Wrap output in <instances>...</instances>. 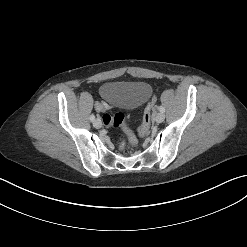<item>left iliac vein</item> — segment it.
<instances>
[{
  "instance_id": "1",
  "label": "left iliac vein",
  "mask_w": 247,
  "mask_h": 247,
  "mask_svg": "<svg viewBox=\"0 0 247 247\" xmlns=\"http://www.w3.org/2000/svg\"><path fill=\"white\" fill-rule=\"evenodd\" d=\"M164 119H165L164 113H162V112L157 113V115H156V117H155V121H156L157 123L163 122Z\"/></svg>"
}]
</instances>
